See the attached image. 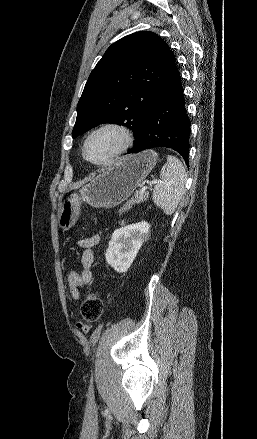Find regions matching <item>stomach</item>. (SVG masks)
<instances>
[{"label":"stomach","instance_id":"stomach-1","mask_svg":"<svg viewBox=\"0 0 257 439\" xmlns=\"http://www.w3.org/2000/svg\"><path fill=\"white\" fill-rule=\"evenodd\" d=\"M157 162V153L146 150L128 155L105 169L79 194L64 199L58 209V225L68 230L77 220L83 202L94 208H113L125 201L146 178Z\"/></svg>","mask_w":257,"mask_h":439}]
</instances>
